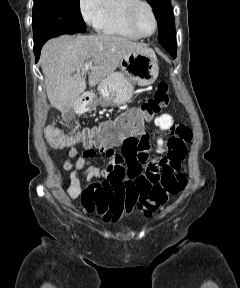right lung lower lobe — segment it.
<instances>
[{"mask_svg": "<svg viewBox=\"0 0 240 288\" xmlns=\"http://www.w3.org/2000/svg\"><path fill=\"white\" fill-rule=\"evenodd\" d=\"M63 34H71V35H72V34H74V33H71V32L57 33V34H54V35L48 37L47 39H45V40H44L43 42H41L40 44L34 46V53H35L36 62L38 61V59H39V57H40L41 48H42V46L44 45V43H45L48 39H50V38H52V37H57V36L63 35Z\"/></svg>", "mask_w": 240, "mask_h": 288, "instance_id": "1", "label": "right lung lower lobe"}]
</instances>
